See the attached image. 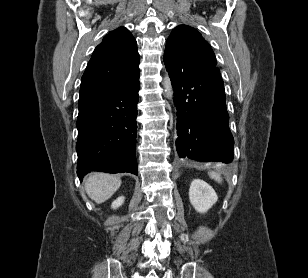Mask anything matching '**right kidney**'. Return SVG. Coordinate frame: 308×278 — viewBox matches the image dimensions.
I'll return each mask as SVG.
<instances>
[{
    "mask_svg": "<svg viewBox=\"0 0 308 278\" xmlns=\"http://www.w3.org/2000/svg\"><path fill=\"white\" fill-rule=\"evenodd\" d=\"M123 202H124V197H123V196L118 197L116 200H114V201L112 202L111 207H112L113 209H116V208H118L119 206H121V205L123 204Z\"/></svg>",
    "mask_w": 308,
    "mask_h": 278,
    "instance_id": "obj_1",
    "label": "right kidney"
}]
</instances>
